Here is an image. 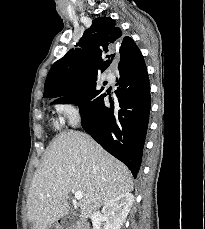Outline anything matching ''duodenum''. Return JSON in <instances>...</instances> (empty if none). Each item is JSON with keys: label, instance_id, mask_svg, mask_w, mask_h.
I'll return each mask as SVG.
<instances>
[{"label": "duodenum", "instance_id": "duodenum-1", "mask_svg": "<svg viewBox=\"0 0 205 229\" xmlns=\"http://www.w3.org/2000/svg\"><path fill=\"white\" fill-rule=\"evenodd\" d=\"M61 224H64L66 223V220L65 219H62L60 221ZM70 229H86V226L84 224H80V225H77V226H73L72 228Z\"/></svg>", "mask_w": 205, "mask_h": 229}]
</instances>
